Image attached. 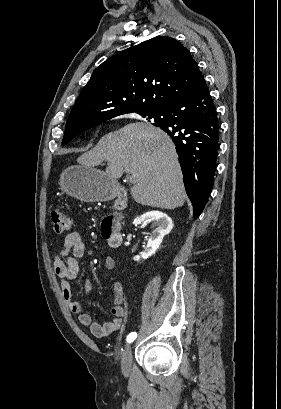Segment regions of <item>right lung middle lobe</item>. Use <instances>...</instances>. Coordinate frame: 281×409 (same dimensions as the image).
<instances>
[{"label":"right lung middle lobe","mask_w":281,"mask_h":409,"mask_svg":"<svg viewBox=\"0 0 281 409\" xmlns=\"http://www.w3.org/2000/svg\"><path fill=\"white\" fill-rule=\"evenodd\" d=\"M136 113L143 116V117H148V119H154V113L153 112H136ZM124 114H126V113H124ZM119 115H122V114H119ZM119 115H114V116L108 117L106 119H103V120H101L99 122H96V123L88 125V126L65 128V133H64V138H63V141H62V145H66L69 141H71L79 133H81V132H83V131H85L87 129H90V128H92V127H94V126H96V125H98L100 123H103L108 119L119 116ZM156 121H157V119H154L155 123H156Z\"/></svg>","instance_id":"right-lung-middle-lobe-1"}]
</instances>
